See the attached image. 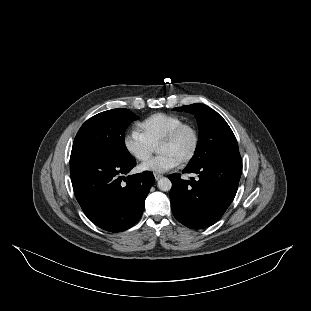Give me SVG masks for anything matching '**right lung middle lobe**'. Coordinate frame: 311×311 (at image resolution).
Listing matches in <instances>:
<instances>
[{"label":"right lung middle lobe","instance_id":"obj_1","mask_svg":"<svg viewBox=\"0 0 311 311\" xmlns=\"http://www.w3.org/2000/svg\"><path fill=\"white\" fill-rule=\"evenodd\" d=\"M138 117L128 109H112L87 120L79 129L71 151L70 160L89 153L110 155L131 160L124 133L127 126Z\"/></svg>","mask_w":311,"mask_h":311}]
</instances>
